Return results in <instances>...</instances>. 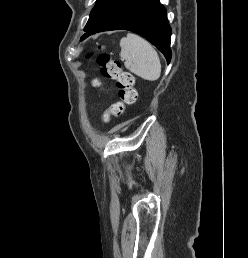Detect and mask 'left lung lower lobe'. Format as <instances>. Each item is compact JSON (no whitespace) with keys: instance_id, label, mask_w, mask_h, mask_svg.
Instances as JSON below:
<instances>
[{"instance_id":"1","label":"left lung lower lobe","mask_w":248,"mask_h":258,"mask_svg":"<svg viewBox=\"0 0 248 258\" xmlns=\"http://www.w3.org/2000/svg\"><path fill=\"white\" fill-rule=\"evenodd\" d=\"M112 30H129L143 36L164 54L167 63L170 62L171 27L166 9L159 0H128L110 17L86 32L81 40L97 32Z\"/></svg>"}]
</instances>
